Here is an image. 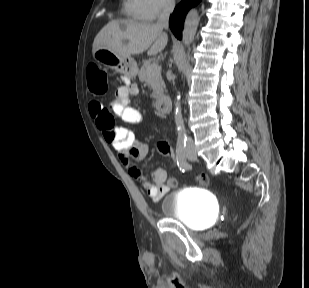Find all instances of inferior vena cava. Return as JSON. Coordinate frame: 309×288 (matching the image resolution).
Listing matches in <instances>:
<instances>
[{
    "mask_svg": "<svg viewBox=\"0 0 309 288\" xmlns=\"http://www.w3.org/2000/svg\"><path fill=\"white\" fill-rule=\"evenodd\" d=\"M175 7V2L174 0H166L164 9L162 11V13L160 14L158 21H157V25L161 28H168L169 25V17L170 14L173 12ZM192 139L189 137L188 138V143H191Z\"/></svg>",
    "mask_w": 309,
    "mask_h": 288,
    "instance_id": "obj_1",
    "label": "inferior vena cava"
}]
</instances>
